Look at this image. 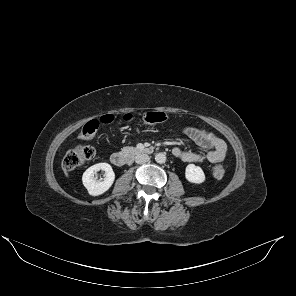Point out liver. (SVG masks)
Instances as JSON below:
<instances>
[{"label":"liver","instance_id":"6515ba94","mask_svg":"<svg viewBox=\"0 0 296 296\" xmlns=\"http://www.w3.org/2000/svg\"><path fill=\"white\" fill-rule=\"evenodd\" d=\"M63 170H64L65 175L68 177L67 170L65 168Z\"/></svg>","mask_w":296,"mask_h":296}]
</instances>
